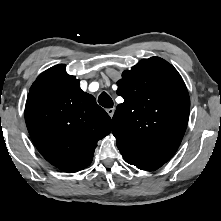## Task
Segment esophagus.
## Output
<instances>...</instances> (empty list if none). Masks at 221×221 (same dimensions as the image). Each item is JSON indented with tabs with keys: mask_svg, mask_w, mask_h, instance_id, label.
<instances>
[{
	"mask_svg": "<svg viewBox=\"0 0 221 221\" xmlns=\"http://www.w3.org/2000/svg\"><path fill=\"white\" fill-rule=\"evenodd\" d=\"M106 112L108 113V115L112 118L115 112L114 108H109L106 110Z\"/></svg>",
	"mask_w": 221,
	"mask_h": 221,
	"instance_id": "1",
	"label": "esophagus"
}]
</instances>
